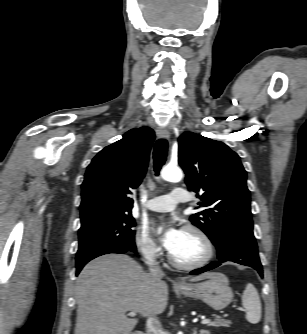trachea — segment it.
<instances>
[{
  "label": "trachea",
  "instance_id": "obj_1",
  "mask_svg": "<svg viewBox=\"0 0 307 334\" xmlns=\"http://www.w3.org/2000/svg\"><path fill=\"white\" fill-rule=\"evenodd\" d=\"M168 143L165 139H159L154 145L153 159H154V171L156 176L164 165L167 158Z\"/></svg>",
  "mask_w": 307,
  "mask_h": 334
}]
</instances>
